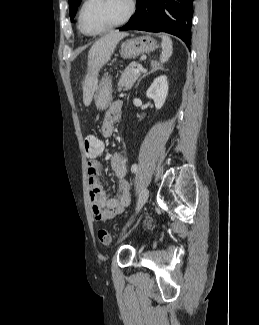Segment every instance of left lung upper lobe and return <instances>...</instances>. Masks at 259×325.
I'll return each instance as SVG.
<instances>
[{
    "mask_svg": "<svg viewBox=\"0 0 259 325\" xmlns=\"http://www.w3.org/2000/svg\"><path fill=\"white\" fill-rule=\"evenodd\" d=\"M81 0H69V10H70V18L71 20L74 18L77 7L80 4Z\"/></svg>",
    "mask_w": 259,
    "mask_h": 325,
    "instance_id": "5c2ea615",
    "label": "left lung upper lobe"
}]
</instances>
